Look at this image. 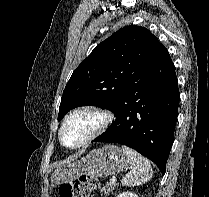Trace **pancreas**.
<instances>
[{
  "label": "pancreas",
  "instance_id": "1",
  "mask_svg": "<svg viewBox=\"0 0 209 197\" xmlns=\"http://www.w3.org/2000/svg\"><path fill=\"white\" fill-rule=\"evenodd\" d=\"M117 184L114 183H107L102 189L101 192L103 194L109 195L110 193H112V191L114 190V188H116Z\"/></svg>",
  "mask_w": 209,
  "mask_h": 197
}]
</instances>
